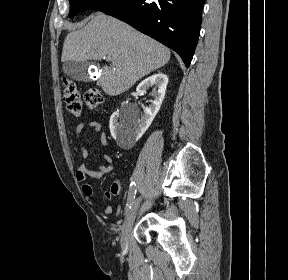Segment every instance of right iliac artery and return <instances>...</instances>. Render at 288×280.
Instances as JSON below:
<instances>
[{
    "label": "right iliac artery",
    "instance_id": "obj_1",
    "mask_svg": "<svg viewBox=\"0 0 288 280\" xmlns=\"http://www.w3.org/2000/svg\"><path fill=\"white\" fill-rule=\"evenodd\" d=\"M136 192H137L136 184H135V182H132L130 184L128 198H127V203H126V213L129 211V209L131 208V206H132V204L134 202V199H135V196H136Z\"/></svg>",
    "mask_w": 288,
    "mask_h": 280
}]
</instances>
